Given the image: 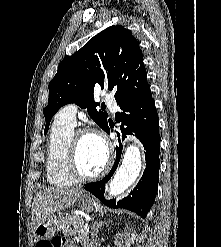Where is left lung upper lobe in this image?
<instances>
[{"mask_svg":"<svg viewBox=\"0 0 221 247\" xmlns=\"http://www.w3.org/2000/svg\"><path fill=\"white\" fill-rule=\"evenodd\" d=\"M101 64L105 71L100 68ZM97 85L113 90L117 104L151 93L139 43L124 26L106 28L60 63L49 83L48 105L43 111L44 134L53 115L68 103L86 108L90 117L105 130L108 115L97 111L99 104L94 102L93 91Z\"/></svg>","mask_w":221,"mask_h":247,"instance_id":"left-lung-upper-lobe-1","label":"left lung upper lobe"}]
</instances>
